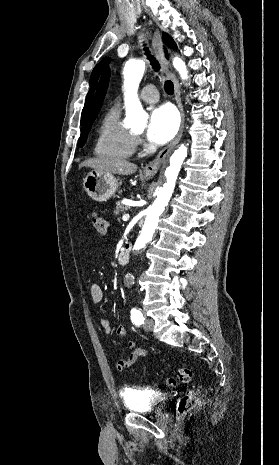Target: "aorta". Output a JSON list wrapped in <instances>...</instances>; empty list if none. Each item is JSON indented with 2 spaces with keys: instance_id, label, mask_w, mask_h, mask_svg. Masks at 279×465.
<instances>
[{
  "instance_id": "1",
  "label": "aorta",
  "mask_w": 279,
  "mask_h": 465,
  "mask_svg": "<svg viewBox=\"0 0 279 465\" xmlns=\"http://www.w3.org/2000/svg\"><path fill=\"white\" fill-rule=\"evenodd\" d=\"M173 66L179 72L182 80L188 79V71L185 63L179 57L173 59ZM145 71V63L141 60L130 61L124 67V100L126 107V117L131 126L135 128H144L147 121V114L138 99V88ZM187 157V147L182 144L170 157V165L165 170L167 182L163 187H160L157 193V198L154 203L148 208L145 223L141 233L137 238L134 250H140L148 242L159 222L160 215L164 212L168 202L174 191L175 182L182 163Z\"/></svg>"
}]
</instances>
